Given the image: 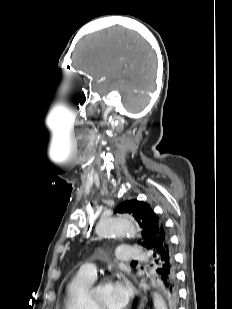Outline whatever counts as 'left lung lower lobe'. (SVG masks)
Wrapping results in <instances>:
<instances>
[{
  "label": "left lung lower lobe",
  "mask_w": 232,
  "mask_h": 309,
  "mask_svg": "<svg viewBox=\"0 0 232 309\" xmlns=\"http://www.w3.org/2000/svg\"><path fill=\"white\" fill-rule=\"evenodd\" d=\"M150 255L152 257L151 266L156 273V280L162 288L165 298L168 300V308L176 309L177 284L175 262L169 237L165 236L163 232H161V235L157 240L155 247L150 252Z\"/></svg>",
  "instance_id": "0a47b994"
}]
</instances>
